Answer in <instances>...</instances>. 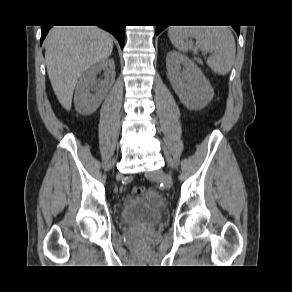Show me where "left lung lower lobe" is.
Here are the masks:
<instances>
[{
	"mask_svg": "<svg viewBox=\"0 0 292 292\" xmlns=\"http://www.w3.org/2000/svg\"><path fill=\"white\" fill-rule=\"evenodd\" d=\"M166 26H157L156 27V34H159ZM235 31L237 32V34L239 35V30H240V27L239 26H236L234 27Z\"/></svg>",
	"mask_w": 292,
	"mask_h": 292,
	"instance_id": "left-lung-lower-lobe-1",
	"label": "left lung lower lobe"
}]
</instances>
